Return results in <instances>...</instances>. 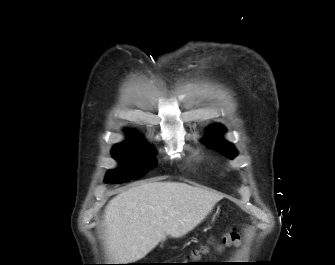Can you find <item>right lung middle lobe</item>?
<instances>
[{"label":"right lung middle lobe","instance_id":"dd1d6c3e","mask_svg":"<svg viewBox=\"0 0 335 265\" xmlns=\"http://www.w3.org/2000/svg\"><path fill=\"white\" fill-rule=\"evenodd\" d=\"M129 141L114 146L112 156L120 167L108 171L105 182L125 183L139 179L156 166L155 152L135 133H129Z\"/></svg>","mask_w":335,"mask_h":265}]
</instances>
